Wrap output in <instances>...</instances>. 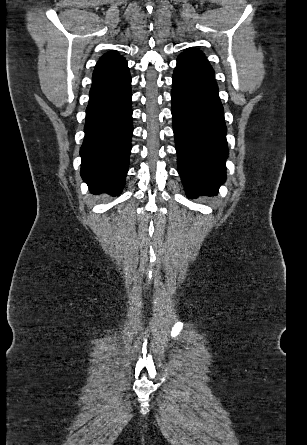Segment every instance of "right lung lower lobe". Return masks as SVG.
<instances>
[{
    "mask_svg": "<svg viewBox=\"0 0 307 445\" xmlns=\"http://www.w3.org/2000/svg\"><path fill=\"white\" fill-rule=\"evenodd\" d=\"M131 76L127 62L93 75L80 149L81 176L93 194L122 191L132 137Z\"/></svg>",
    "mask_w": 307,
    "mask_h": 445,
    "instance_id": "98d812e1",
    "label": "right lung lower lobe"
}]
</instances>
